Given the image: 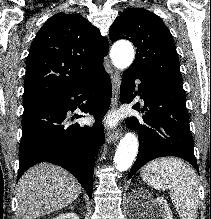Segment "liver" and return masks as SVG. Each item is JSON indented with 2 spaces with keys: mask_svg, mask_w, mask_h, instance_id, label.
Here are the masks:
<instances>
[{
  "mask_svg": "<svg viewBox=\"0 0 211 219\" xmlns=\"http://www.w3.org/2000/svg\"><path fill=\"white\" fill-rule=\"evenodd\" d=\"M81 190L78 180L63 168L35 165L18 182V213L22 219L45 216L71 204Z\"/></svg>",
  "mask_w": 211,
  "mask_h": 219,
  "instance_id": "obj_1",
  "label": "liver"
}]
</instances>
